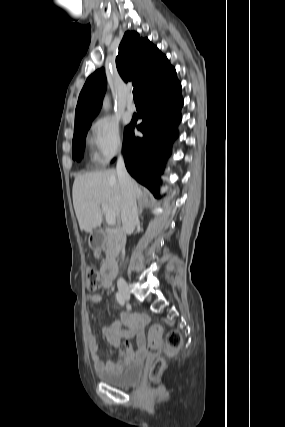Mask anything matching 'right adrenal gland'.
<instances>
[{
	"label": "right adrenal gland",
	"mask_w": 285,
	"mask_h": 427,
	"mask_svg": "<svg viewBox=\"0 0 285 427\" xmlns=\"http://www.w3.org/2000/svg\"><path fill=\"white\" fill-rule=\"evenodd\" d=\"M150 202L148 197L143 196L142 198H140L139 200V215L142 214L143 208H147L149 206Z\"/></svg>",
	"instance_id": "obj_1"
}]
</instances>
